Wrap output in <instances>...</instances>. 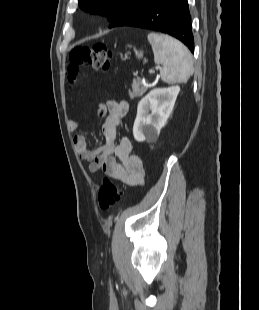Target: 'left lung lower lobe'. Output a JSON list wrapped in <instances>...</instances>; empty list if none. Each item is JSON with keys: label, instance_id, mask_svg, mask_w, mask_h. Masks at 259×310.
<instances>
[{"label": "left lung lower lobe", "instance_id": "left-lung-lower-lobe-1", "mask_svg": "<svg viewBox=\"0 0 259 310\" xmlns=\"http://www.w3.org/2000/svg\"><path fill=\"white\" fill-rule=\"evenodd\" d=\"M118 26L147 28L172 35L194 52L187 0H150L131 10L113 27Z\"/></svg>", "mask_w": 259, "mask_h": 310}]
</instances>
